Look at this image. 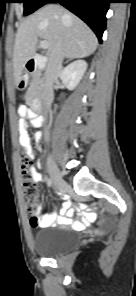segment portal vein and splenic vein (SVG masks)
Segmentation results:
<instances>
[{"mask_svg":"<svg viewBox=\"0 0 136 296\" xmlns=\"http://www.w3.org/2000/svg\"><path fill=\"white\" fill-rule=\"evenodd\" d=\"M40 47L42 49H48L49 48V43L47 41H45V40H41L40 41Z\"/></svg>","mask_w":136,"mask_h":296,"instance_id":"portal-vein-and-splenic-vein-1","label":"portal vein and splenic vein"}]
</instances>
